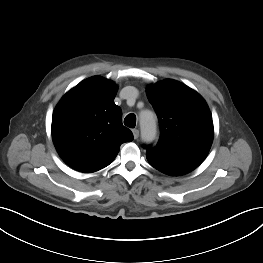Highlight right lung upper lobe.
Instances as JSON below:
<instances>
[{
	"label": "right lung upper lobe",
	"instance_id": "1",
	"mask_svg": "<svg viewBox=\"0 0 263 263\" xmlns=\"http://www.w3.org/2000/svg\"><path fill=\"white\" fill-rule=\"evenodd\" d=\"M117 86L100 76L88 78L67 92L52 117V138L63 161L91 173L108 166L120 145L133 140L122 125V111L113 100Z\"/></svg>",
	"mask_w": 263,
	"mask_h": 263
}]
</instances>
